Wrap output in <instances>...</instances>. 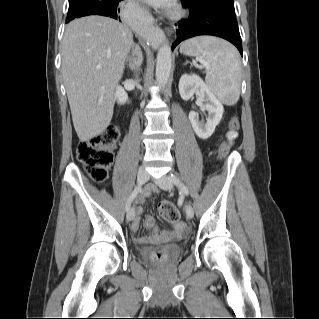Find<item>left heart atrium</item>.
<instances>
[{
  "mask_svg": "<svg viewBox=\"0 0 319 319\" xmlns=\"http://www.w3.org/2000/svg\"><path fill=\"white\" fill-rule=\"evenodd\" d=\"M149 4L155 7H166L169 6L172 3V0H145Z\"/></svg>",
  "mask_w": 319,
  "mask_h": 319,
  "instance_id": "left-heart-atrium-1",
  "label": "left heart atrium"
}]
</instances>
